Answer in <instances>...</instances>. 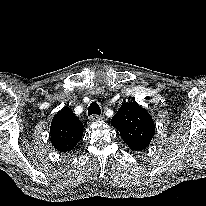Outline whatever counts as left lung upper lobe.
<instances>
[{
    "mask_svg": "<svg viewBox=\"0 0 206 206\" xmlns=\"http://www.w3.org/2000/svg\"><path fill=\"white\" fill-rule=\"evenodd\" d=\"M111 125L132 150H143L151 142L155 124L149 113L137 103H123L113 116Z\"/></svg>",
    "mask_w": 206,
    "mask_h": 206,
    "instance_id": "obj_1",
    "label": "left lung upper lobe"
}]
</instances>
